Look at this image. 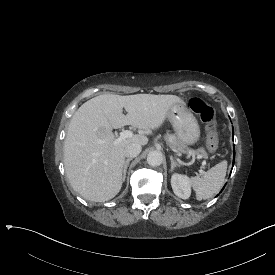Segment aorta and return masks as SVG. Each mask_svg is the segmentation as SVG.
<instances>
[{
  "mask_svg": "<svg viewBox=\"0 0 275 275\" xmlns=\"http://www.w3.org/2000/svg\"><path fill=\"white\" fill-rule=\"evenodd\" d=\"M163 161V155L158 151H151L147 155V162L151 166H159Z\"/></svg>",
  "mask_w": 275,
  "mask_h": 275,
  "instance_id": "762f6f07",
  "label": "aorta"
}]
</instances>
